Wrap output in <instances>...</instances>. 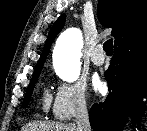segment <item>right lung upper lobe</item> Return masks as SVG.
<instances>
[{
  "mask_svg": "<svg viewBox=\"0 0 147 131\" xmlns=\"http://www.w3.org/2000/svg\"><path fill=\"white\" fill-rule=\"evenodd\" d=\"M98 18L104 26L112 28L115 47L147 29V0H99ZM64 23L63 14L50 30L34 73L41 71L49 48Z\"/></svg>",
  "mask_w": 147,
  "mask_h": 131,
  "instance_id": "cb5924a9",
  "label": "right lung upper lobe"
}]
</instances>
